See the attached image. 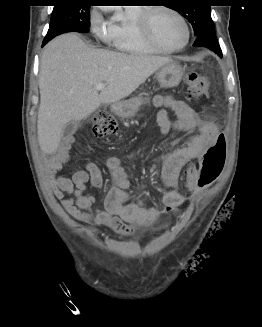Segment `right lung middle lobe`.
Returning <instances> with one entry per match:
<instances>
[{
  "instance_id": "1",
  "label": "right lung middle lobe",
  "mask_w": 262,
  "mask_h": 327,
  "mask_svg": "<svg viewBox=\"0 0 262 327\" xmlns=\"http://www.w3.org/2000/svg\"><path fill=\"white\" fill-rule=\"evenodd\" d=\"M78 0H60L54 6L49 30L43 40V45L65 32H88L90 14L88 5H78Z\"/></svg>"
}]
</instances>
